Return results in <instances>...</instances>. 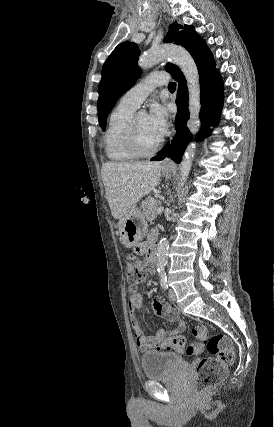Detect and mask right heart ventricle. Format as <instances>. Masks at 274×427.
Segmentation results:
<instances>
[{"instance_id": "1", "label": "right heart ventricle", "mask_w": 274, "mask_h": 427, "mask_svg": "<svg viewBox=\"0 0 274 427\" xmlns=\"http://www.w3.org/2000/svg\"><path fill=\"white\" fill-rule=\"evenodd\" d=\"M135 110L118 104L110 117L109 127L104 135V151L108 160L127 163L135 158L125 145V131Z\"/></svg>"}]
</instances>
